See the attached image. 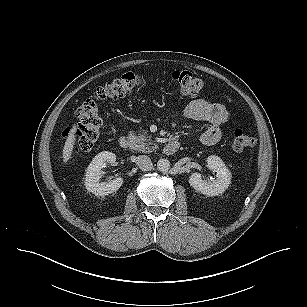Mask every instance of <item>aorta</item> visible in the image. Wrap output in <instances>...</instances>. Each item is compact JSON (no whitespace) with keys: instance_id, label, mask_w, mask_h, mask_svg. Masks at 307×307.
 I'll use <instances>...</instances> for the list:
<instances>
[{"instance_id":"aorta-1","label":"aorta","mask_w":307,"mask_h":307,"mask_svg":"<svg viewBox=\"0 0 307 307\" xmlns=\"http://www.w3.org/2000/svg\"><path fill=\"white\" fill-rule=\"evenodd\" d=\"M157 169L161 172H166L170 169V162L168 159L162 158L157 161Z\"/></svg>"}]
</instances>
